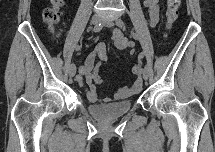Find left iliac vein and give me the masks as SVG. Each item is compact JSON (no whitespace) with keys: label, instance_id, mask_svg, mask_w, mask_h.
<instances>
[{"label":"left iliac vein","instance_id":"left-iliac-vein-1","mask_svg":"<svg viewBox=\"0 0 215 152\" xmlns=\"http://www.w3.org/2000/svg\"><path fill=\"white\" fill-rule=\"evenodd\" d=\"M102 23L106 26V27H112L114 25V22L112 20H103ZM142 76L144 78V80H147L150 76V69L145 66V68L143 69V73Z\"/></svg>","mask_w":215,"mask_h":152}]
</instances>
